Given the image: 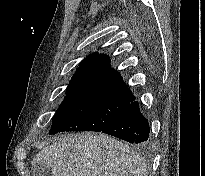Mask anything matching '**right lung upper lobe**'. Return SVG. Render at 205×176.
<instances>
[{"mask_svg": "<svg viewBox=\"0 0 205 176\" xmlns=\"http://www.w3.org/2000/svg\"><path fill=\"white\" fill-rule=\"evenodd\" d=\"M66 93L67 96L97 93L121 99H135L117 70L111 68L109 57L97 53L87 56L81 62Z\"/></svg>", "mask_w": 205, "mask_h": 176, "instance_id": "right-lung-upper-lobe-1", "label": "right lung upper lobe"}]
</instances>
